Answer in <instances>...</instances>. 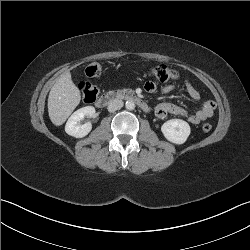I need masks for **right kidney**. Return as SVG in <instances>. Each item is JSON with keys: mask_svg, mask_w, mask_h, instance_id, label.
Listing matches in <instances>:
<instances>
[{"mask_svg": "<svg viewBox=\"0 0 250 250\" xmlns=\"http://www.w3.org/2000/svg\"><path fill=\"white\" fill-rule=\"evenodd\" d=\"M95 114V108L92 106H86L75 111L68 119L65 131L68 135L75 138L85 137L92 129L90 122L80 125V121L85 117H92Z\"/></svg>", "mask_w": 250, "mask_h": 250, "instance_id": "obj_1", "label": "right kidney"}]
</instances>
